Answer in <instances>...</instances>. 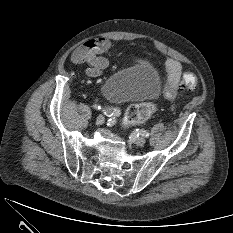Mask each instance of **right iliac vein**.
Returning a JSON list of instances; mask_svg holds the SVG:
<instances>
[{
    "instance_id": "1",
    "label": "right iliac vein",
    "mask_w": 233,
    "mask_h": 233,
    "mask_svg": "<svg viewBox=\"0 0 233 233\" xmlns=\"http://www.w3.org/2000/svg\"><path fill=\"white\" fill-rule=\"evenodd\" d=\"M105 122V117L103 115H99L96 118V125H102Z\"/></svg>"
}]
</instances>
